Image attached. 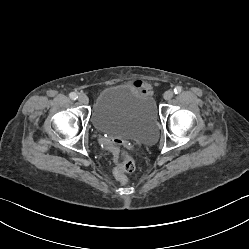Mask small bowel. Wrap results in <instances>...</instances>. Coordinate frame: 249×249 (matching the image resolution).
<instances>
[{"mask_svg":"<svg viewBox=\"0 0 249 249\" xmlns=\"http://www.w3.org/2000/svg\"><path fill=\"white\" fill-rule=\"evenodd\" d=\"M132 86L137 87L138 89L142 90L143 92L150 94L152 91V87L149 83L141 81V80H136L132 82Z\"/></svg>","mask_w":249,"mask_h":249,"instance_id":"1","label":"small bowel"}]
</instances>
